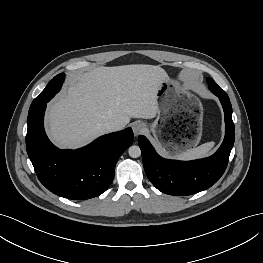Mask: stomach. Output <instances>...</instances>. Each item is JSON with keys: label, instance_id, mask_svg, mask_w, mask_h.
Returning <instances> with one entry per match:
<instances>
[{"label": "stomach", "instance_id": "1", "mask_svg": "<svg viewBox=\"0 0 263 263\" xmlns=\"http://www.w3.org/2000/svg\"><path fill=\"white\" fill-rule=\"evenodd\" d=\"M159 113L150 131L162 154L177 157L198 145L202 136L203 107L199 99L178 81L161 82Z\"/></svg>", "mask_w": 263, "mask_h": 263}]
</instances>
